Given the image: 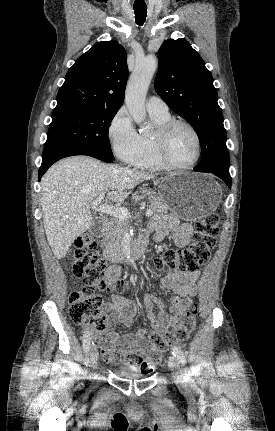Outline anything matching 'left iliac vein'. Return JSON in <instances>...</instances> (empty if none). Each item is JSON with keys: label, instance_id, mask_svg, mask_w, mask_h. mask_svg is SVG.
<instances>
[{"label": "left iliac vein", "instance_id": "obj_1", "mask_svg": "<svg viewBox=\"0 0 275 431\" xmlns=\"http://www.w3.org/2000/svg\"><path fill=\"white\" fill-rule=\"evenodd\" d=\"M168 365H169V367L173 373L175 380L178 383H183L184 376H183L182 370L180 369L178 359H176V357H174V356H170L169 360H168Z\"/></svg>", "mask_w": 275, "mask_h": 431}]
</instances>
